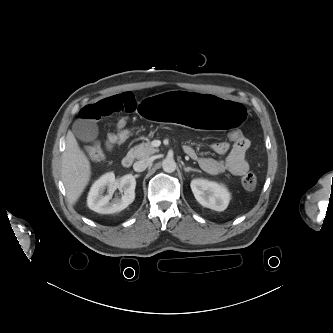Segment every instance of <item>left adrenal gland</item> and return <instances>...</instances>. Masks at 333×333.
<instances>
[{"instance_id": "left-adrenal-gland-1", "label": "left adrenal gland", "mask_w": 333, "mask_h": 333, "mask_svg": "<svg viewBox=\"0 0 333 333\" xmlns=\"http://www.w3.org/2000/svg\"><path fill=\"white\" fill-rule=\"evenodd\" d=\"M184 171L189 172V171H199V170L193 169L191 167H184Z\"/></svg>"}]
</instances>
